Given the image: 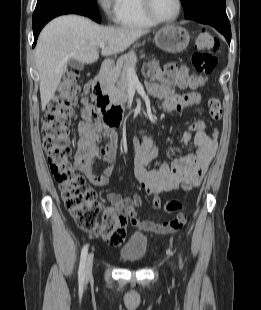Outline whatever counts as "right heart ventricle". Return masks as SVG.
<instances>
[{
  "instance_id": "right-heart-ventricle-1",
  "label": "right heart ventricle",
  "mask_w": 261,
  "mask_h": 310,
  "mask_svg": "<svg viewBox=\"0 0 261 310\" xmlns=\"http://www.w3.org/2000/svg\"><path fill=\"white\" fill-rule=\"evenodd\" d=\"M114 21L129 29H148L156 25L145 15L141 0H116Z\"/></svg>"
}]
</instances>
